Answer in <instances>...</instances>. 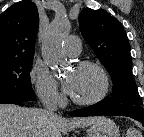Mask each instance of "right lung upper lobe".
<instances>
[{"instance_id": "right-lung-upper-lobe-1", "label": "right lung upper lobe", "mask_w": 144, "mask_h": 137, "mask_svg": "<svg viewBox=\"0 0 144 137\" xmlns=\"http://www.w3.org/2000/svg\"><path fill=\"white\" fill-rule=\"evenodd\" d=\"M39 15L36 5L23 0L0 15V62L34 57Z\"/></svg>"}]
</instances>
